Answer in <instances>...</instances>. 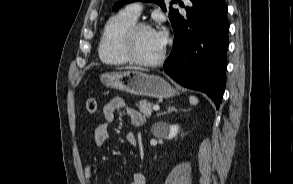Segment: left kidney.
Instances as JSON below:
<instances>
[{
    "label": "left kidney",
    "instance_id": "1",
    "mask_svg": "<svg viewBox=\"0 0 293 184\" xmlns=\"http://www.w3.org/2000/svg\"><path fill=\"white\" fill-rule=\"evenodd\" d=\"M179 133V126L177 124L175 125H167L163 132V137L165 139L171 140L177 136Z\"/></svg>",
    "mask_w": 293,
    "mask_h": 184
}]
</instances>
